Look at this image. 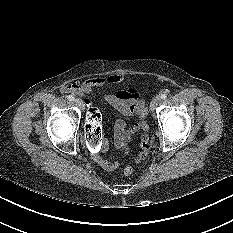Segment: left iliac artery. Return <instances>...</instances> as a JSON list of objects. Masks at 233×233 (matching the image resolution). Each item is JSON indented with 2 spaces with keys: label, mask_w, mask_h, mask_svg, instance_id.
I'll use <instances>...</instances> for the list:
<instances>
[{
  "label": "left iliac artery",
  "mask_w": 233,
  "mask_h": 233,
  "mask_svg": "<svg viewBox=\"0 0 233 233\" xmlns=\"http://www.w3.org/2000/svg\"><path fill=\"white\" fill-rule=\"evenodd\" d=\"M166 97H167V94H165V93L161 94V96H160L161 99H165Z\"/></svg>",
  "instance_id": "1"
}]
</instances>
